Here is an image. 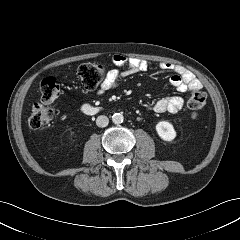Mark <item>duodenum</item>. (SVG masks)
Returning a JSON list of instances; mask_svg holds the SVG:
<instances>
[{"mask_svg": "<svg viewBox=\"0 0 240 240\" xmlns=\"http://www.w3.org/2000/svg\"><path fill=\"white\" fill-rule=\"evenodd\" d=\"M81 109L86 114H93V113L97 112V108L94 105H92L91 103H84L82 105Z\"/></svg>", "mask_w": 240, "mask_h": 240, "instance_id": "410a0bca", "label": "duodenum"}]
</instances>
